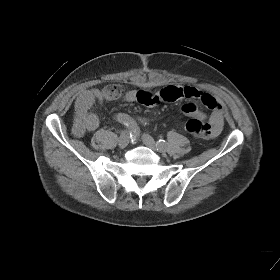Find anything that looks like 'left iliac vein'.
Masks as SVG:
<instances>
[{
    "label": "left iliac vein",
    "mask_w": 280,
    "mask_h": 280,
    "mask_svg": "<svg viewBox=\"0 0 280 280\" xmlns=\"http://www.w3.org/2000/svg\"><path fill=\"white\" fill-rule=\"evenodd\" d=\"M143 143L152 149L153 151H159V152H164L165 149H160L154 139L149 135V134H143L141 136Z\"/></svg>",
    "instance_id": "left-iliac-vein-1"
}]
</instances>
